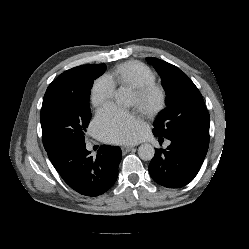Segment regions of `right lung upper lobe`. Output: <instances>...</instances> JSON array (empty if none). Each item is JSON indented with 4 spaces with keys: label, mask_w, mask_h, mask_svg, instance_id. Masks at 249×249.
Returning a JSON list of instances; mask_svg holds the SVG:
<instances>
[{
    "label": "right lung upper lobe",
    "mask_w": 249,
    "mask_h": 249,
    "mask_svg": "<svg viewBox=\"0 0 249 249\" xmlns=\"http://www.w3.org/2000/svg\"><path fill=\"white\" fill-rule=\"evenodd\" d=\"M74 70H75V68H72L70 70L63 72L55 81H60L62 79H66L72 72H74ZM55 81H53V82H55ZM49 96H50V90L47 89L43 100H46Z\"/></svg>",
    "instance_id": "1"
}]
</instances>
